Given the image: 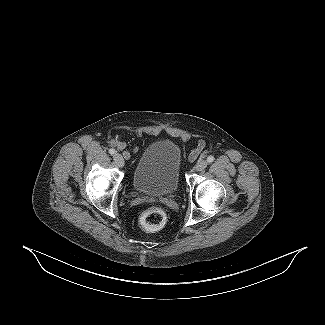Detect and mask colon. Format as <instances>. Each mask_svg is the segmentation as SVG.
I'll return each mask as SVG.
<instances>
[{"mask_svg":"<svg viewBox=\"0 0 325 325\" xmlns=\"http://www.w3.org/2000/svg\"><path fill=\"white\" fill-rule=\"evenodd\" d=\"M166 223V214L159 207L149 208L141 217V225L148 231L162 228Z\"/></svg>","mask_w":325,"mask_h":325,"instance_id":"5ec220e1","label":"colon"}]
</instances>
